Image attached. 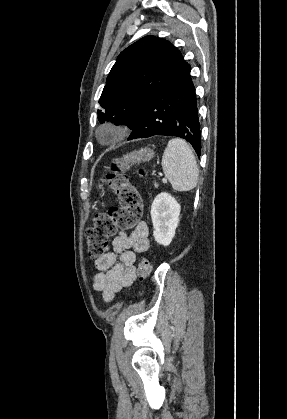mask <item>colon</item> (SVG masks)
I'll return each mask as SVG.
<instances>
[{
    "label": "colon",
    "mask_w": 287,
    "mask_h": 419,
    "mask_svg": "<svg viewBox=\"0 0 287 419\" xmlns=\"http://www.w3.org/2000/svg\"><path fill=\"white\" fill-rule=\"evenodd\" d=\"M143 175L144 171H139ZM111 189L118 196L120 206L111 208L106 213H98L94 217L93 226L86 230L88 254L93 259L105 255L108 241L118 230H126L136 226L142 216V200L139 192L129 182L122 167L114 163L108 173ZM152 271L149 258L144 257L138 264L137 274L145 280Z\"/></svg>",
    "instance_id": "colon-1"
}]
</instances>
